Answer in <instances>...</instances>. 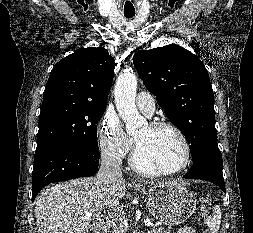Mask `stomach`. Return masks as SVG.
Listing matches in <instances>:
<instances>
[{"instance_id": "1", "label": "stomach", "mask_w": 253, "mask_h": 233, "mask_svg": "<svg viewBox=\"0 0 253 233\" xmlns=\"http://www.w3.org/2000/svg\"><path fill=\"white\" fill-rule=\"evenodd\" d=\"M141 192L147 194L151 214L169 226L181 224L196 209L195 196L180 183L154 185L147 191L141 188Z\"/></svg>"}]
</instances>
